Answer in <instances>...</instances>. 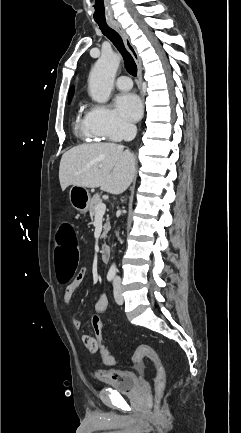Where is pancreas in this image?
<instances>
[{"mask_svg": "<svg viewBox=\"0 0 241 433\" xmlns=\"http://www.w3.org/2000/svg\"><path fill=\"white\" fill-rule=\"evenodd\" d=\"M102 203V199L100 198L99 194H95L90 201V205H89V212L91 216H95L96 215V206ZM104 231L101 235V239H105L108 231L110 230V222H109V218L107 217L106 222L104 224Z\"/></svg>", "mask_w": 241, "mask_h": 433, "instance_id": "obj_1", "label": "pancreas"}]
</instances>
